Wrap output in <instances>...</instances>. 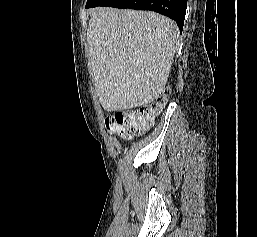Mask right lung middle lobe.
<instances>
[{"mask_svg":"<svg viewBox=\"0 0 257 237\" xmlns=\"http://www.w3.org/2000/svg\"><path fill=\"white\" fill-rule=\"evenodd\" d=\"M107 0H87L86 8L103 5Z\"/></svg>","mask_w":257,"mask_h":237,"instance_id":"dd1d6c3e","label":"right lung middle lobe"}]
</instances>
